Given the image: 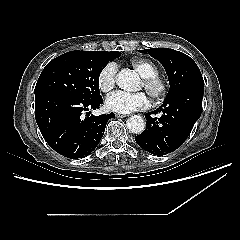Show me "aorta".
Returning <instances> with one entry per match:
<instances>
[{"label":"aorta","mask_w":240,"mask_h":240,"mask_svg":"<svg viewBox=\"0 0 240 240\" xmlns=\"http://www.w3.org/2000/svg\"><path fill=\"white\" fill-rule=\"evenodd\" d=\"M138 78L131 70H122L117 74L116 82L119 88L132 91L136 88ZM127 129L134 134H140L145 130V121L139 115H133L126 121Z\"/></svg>","instance_id":"obj_1"}]
</instances>
